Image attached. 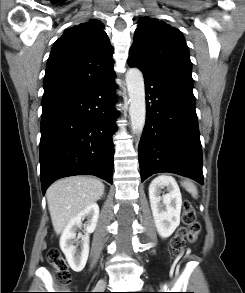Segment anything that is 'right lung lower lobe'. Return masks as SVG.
Instances as JSON below:
<instances>
[{
	"label": "right lung lower lobe",
	"instance_id": "98d812e1",
	"mask_svg": "<svg viewBox=\"0 0 245 293\" xmlns=\"http://www.w3.org/2000/svg\"><path fill=\"white\" fill-rule=\"evenodd\" d=\"M114 76L43 108L40 140L43 194L57 179L73 175H95L112 184V135L117 129Z\"/></svg>",
	"mask_w": 245,
	"mask_h": 293
}]
</instances>
